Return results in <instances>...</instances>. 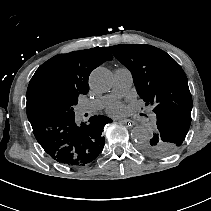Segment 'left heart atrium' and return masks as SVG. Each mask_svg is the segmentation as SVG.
I'll return each instance as SVG.
<instances>
[{
	"mask_svg": "<svg viewBox=\"0 0 211 211\" xmlns=\"http://www.w3.org/2000/svg\"><path fill=\"white\" fill-rule=\"evenodd\" d=\"M129 106L122 102H114L109 106V112L112 114H124L129 110Z\"/></svg>",
	"mask_w": 211,
	"mask_h": 211,
	"instance_id": "obj_1",
	"label": "left heart atrium"
}]
</instances>
